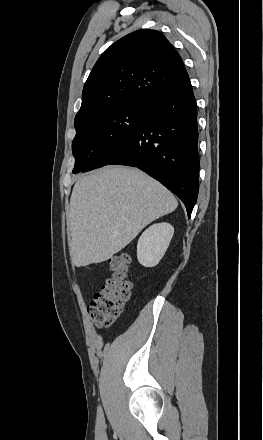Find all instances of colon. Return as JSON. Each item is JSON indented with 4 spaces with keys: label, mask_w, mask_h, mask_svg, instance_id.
<instances>
[{
    "label": "colon",
    "mask_w": 263,
    "mask_h": 440,
    "mask_svg": "<svg viewBox=\"0 0 263 440\" xmlns=\"http://www.w3.org/2000/svg\"><path fill=\"white\" fill-rule=\"evenodd\" d=\"M131 259L126 254L113 256L109 260L110 274L102 281L101 290L91 300L89 316L98 328H108L121 315L125 302L130 297Z\"/></svg>",
    "instance_id": "colon-1"
}]
</instances>
